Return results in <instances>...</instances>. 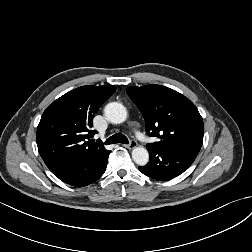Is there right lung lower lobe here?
<instances>
[{"mask_svg":"<svg viewBox=\"0 0 252 252\" xmlns=\"http://www.w3.org/2000/svg\"><path fill=\"white\" fill-rule=\"evenodd\" d=\"M109 154L110 151L103 156L79 157L57 166L51 172L69 185L87 186L103 175Z\"/></svg>","mask_w":252,"mask_h":252,"instance_id":"1","label":"right lung lower lobe"}]
</instances>
